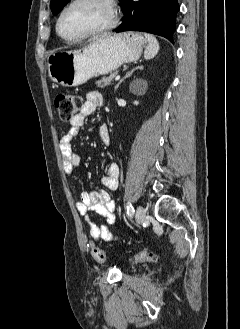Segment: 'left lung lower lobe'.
Instances as JSON below:
<instances>
[{
    "label": "left lung lower lobe",
    "mask_w": 240,
    "mask_h": 329,
    "mask_svg": "<svg viewBox=\"0 0 240 329\" xmlns=\"http://www.w3.org/2000/svg\"><path fill=\"white\" fill-rule=\"evenodd\" d=\"M123 22L115 30L143 31L157 34L173 42L176 14L179 11L177 0H125L122 7Z\"/></svg>",
    "instance_id": "1"
}]
</instances>
